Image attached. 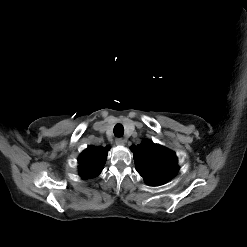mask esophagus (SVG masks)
I'll return each mask as SVG.
<instances>
[{"label":"esophagus","instance_id":"34e87169","mask_svg":"<svg viewBox=\"0 0 247 247\" xmlns=\"http://www.w3.org/2000/svg\"><path fill=\"white\" fill-rule=\"evenodd\" d=\"M115 143L116 145L123 146L125 144V140L123 138H116Z\"/></svg>","mask_w":247,"mask_h":247}]
</instances>
